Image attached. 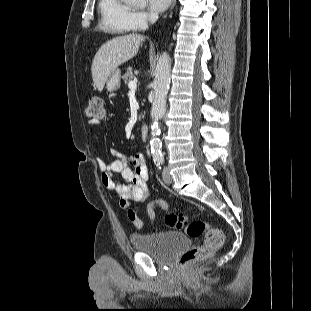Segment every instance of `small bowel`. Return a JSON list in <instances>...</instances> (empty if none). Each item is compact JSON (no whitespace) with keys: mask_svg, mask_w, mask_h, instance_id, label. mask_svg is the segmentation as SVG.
<instances>
[{"mask_svg":"<svg viewBox=\"0 0 311 311\" xmlns=\"http://www.w3.org/2000/svg\"><path fill=\"white\" fill-rule=\"evenodd\" d=\"M100 121L90 120V125L97 126ZM114 157L106 161L97 156L96 163L101 171V182L109 190L119 197L120 207L126 211L128 219L138 229L143 228V221L132 208V203H143L150 196L148 185V168L145 157L142 153H136L130 157L117 150H111ZM131 163V165H130ZM120 174L124 183L116 180L115 175ZM155 206L167 209L168 205L163 202H156L149 206L147 213L152 222H155Z\"/></svg>","mask_w":311,"mask_h":311,"instance_id":"1","label":"small bowel"}]
</instances>
